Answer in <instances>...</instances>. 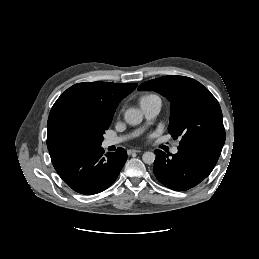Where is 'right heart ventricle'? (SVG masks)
I'll return each mask as SVG.
<instances>
[{
  "label": "right heart ventricle",
  "instance_id": "right-heart-ventricle-1",
  "mask_svg": "<svg viewBox=\"0 0 259 259\" xmlns=\"http://www.w3.org/2000/svg\"><path fill=\"white\" fill-rule=\"evenodd\" d=\"M154 99L160 100V99L158 98V96H156V95H153V94L145 95V96H143V97L140 99V104L145 103V102L150 101V100H154Z\"/></svg>",
  "mask_w": 259,
  "mask_h": 259
}]
</instances>
